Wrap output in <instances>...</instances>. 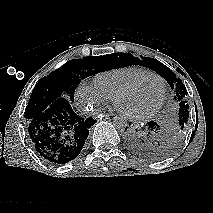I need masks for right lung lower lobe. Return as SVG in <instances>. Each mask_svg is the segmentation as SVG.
I'll use <instances>...</instances> for the list:
<instances>
[{
	"label": "right lung lower lobe",
	"instance_id": "right-lung-lower-lobe-1",
	"mask_svg": "<svg viewBox=\"0 0 213 213\" xmlns=\"http://www.w3.org/2000/svg\"><path fill=\"white\" fill-rule=\"evenodd\" d=\"M95 122L77 115L71 102L60 98L28 121L26 127L31 143L44 160L65 164L80 154Z\"/></svg>",
	"mask_w": 213,
	"mask_h": 213
}]
</instances>
